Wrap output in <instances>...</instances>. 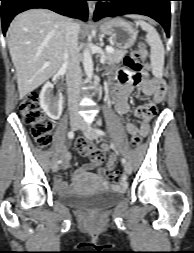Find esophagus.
<instances>
[{
    "mask_svg": "<svg viewBox=\"0 0 194 253\" xmlns=\"http://www.w3.org/2000/svg\"><path fill=\"white\" fill-rule=\"evenodd\" d=\"M88 9H89V13L93 14L94 9H95V5H94V3H92V1H88Z\"/></svg>",
    "mask_w": 194,
    "mask_h": 253,
    "instance_id": "obj_1",
    "label": "esophagus"
}]
</instances>
